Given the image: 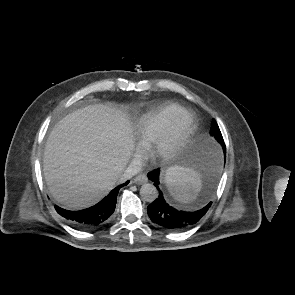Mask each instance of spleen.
I'll return each instance as SVG.
<instances>
[{
	"label": "spleen",
	"instance_id": "spleen-1",
	"mask_svg": "<svg viewBox=\"0 0 295 295\" xmlns=\"http://www.w3.org/2000/svg\"><path fill=\"white\" fill-rule=\"evenodd\" d=\"M165 179L170 193L181 203L195 200L202 186V177L199 172L178 166L169 168Z\"/></svg>",
	"mask_w": 295,
	"mask_h": 295
}]
</instances>
